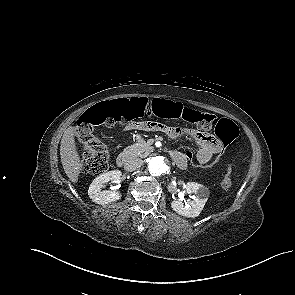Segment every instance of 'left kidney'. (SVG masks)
<instances>
[{"instance_id": "left-kidney-1", "label": "left kidney", "mask_w": 295, "mask_h": 295, "mask_svg": "<svg viewBox=\"0 0 295 295\" xmlns=\"http://www.w3.org/2000/svg\"><path fill=\"white\" fill-rule=\"evenodd\" d=\"M186 191L188 194H194L192 200H173L171 207L176 213L184 217H197L203 210L210 192L207 187L195 182H188L186 184Z\"/></svg>"}]
</instances>
